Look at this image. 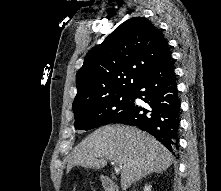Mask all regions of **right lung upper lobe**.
<instances>
[{
	"label": "right lung upper lobe",
	"mask_w": 221,
	"mask_h": 191,
	"mask_svg": "<svg viewBox=\"0 0 221 191\" xmlns=\"http://www.w3.org/2000/svg\"><path fill=\"white\" fill-rule=\"evenodd\" d=\"M170 51L160 31L143 17L118 26L85 56L76 75L73 111L133 91L137 83Z\"/></svg>",
	"instance_id": "obj_1"
}]
</instances>
